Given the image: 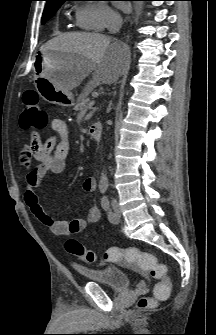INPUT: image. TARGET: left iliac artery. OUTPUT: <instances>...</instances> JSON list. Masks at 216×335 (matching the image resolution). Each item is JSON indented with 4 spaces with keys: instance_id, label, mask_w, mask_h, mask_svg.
<instances>
[{
    "instance_id": "44dca946",
    "label": "left iliac artery",
    "mask_w": 216,
    "mask_h": 335,
    "mask_svg": "<svg viewBox=\"0 0 216 335\" xmlns=\"http://www.w3.org/2000/svg\"><path fill=\"white\" fill-rule=\"evenodd\" d=\"M101 206L106 211L108 219L110 222H113L115 220V214L112 212L110 208V202L106 196H104L101 200Z\"/></svg>"
}]
</instances>
